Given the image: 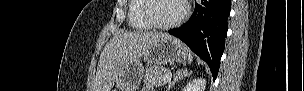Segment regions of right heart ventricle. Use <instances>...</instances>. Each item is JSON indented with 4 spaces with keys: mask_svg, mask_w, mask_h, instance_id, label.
<instances>
[{
    "mask_svg": "<svg viewBox=\"0 0 304 91\" xmlns=\"http://www.w3.org/2000/svg\"><path fill=\"white\" fill-rule=\"evenodd\" d=\"M144 0H129L128 3V24L135 30H149L152 26L146 21L143 15Z\"/></svg>",
    "mask_w": 304,
    "mask_h": 91,
    "instance_id": "right-heart-ventricle-1",
    "label": "right heart ventricle"
}]
</instances>
